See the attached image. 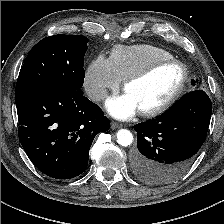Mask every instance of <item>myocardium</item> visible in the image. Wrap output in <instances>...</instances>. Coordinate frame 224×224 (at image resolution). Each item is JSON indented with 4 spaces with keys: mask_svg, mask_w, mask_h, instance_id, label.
<instances>
[{
    "mask_svg": "<svg viewBox=\"0 0 224 224\" xmlns=\"http://www.w3.org/2000/svg\"><path fill=\"white\" fill-rule=\"evenodd\" d=\"M170 64L178 65L182 70V77H181V80H180L178 86L173 91V93L162 103H160L157 106L152 107L150 109L139 110V113L142 116L153 117V116L159 115V114L165 112L166 110H168L171 106H173L177 102V100L183 94L186 84L189 79L188 68L183 62H181L180 60L175 59V58L160 59V60L154 61L153 63H151L147 67L143 68L142 70L129 75L124 80L123 90L126 92L127 88L132 83L141 81V80L149 77L151 74H153L159 68L166 66V65H170Z\"/></svg>",
    "mask_w": 224,
    "mask_h": 224,
    "instance_id": "obj_1",
    "label": "myocardium"
}]
</instances>
